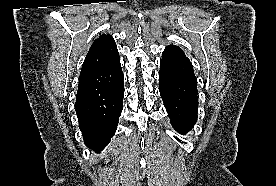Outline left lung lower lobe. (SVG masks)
Segmentation results:
<instances>
[{"instance_id": "obj_1", "label": "left lung lower lobe", "mask_w": 276, "mask_h": 186, "mask_svg": "<svg viewBox=\"0 0 276 186\" xmlns=\"http://www.w3.org/2000/svg\"><path fill=\"white\" fill-rule=\"evenodd\" d=\"M159 91L173 127L190 131L197 121V79L190 64L161 60Z\"/></svg>"}]
</instances>
